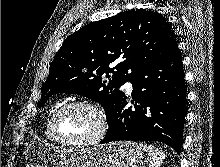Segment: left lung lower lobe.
<instances>
[{"instance_id":"obj_1","label":"left lung lower lobe","mask_w":220,"mask_h":167,"mask_svg":"<svg viewBox=\"0 0 220 167\" xmlns=\"http://www.w3.org/2000/svg\"><path fill=\"white\" fill-rule=\"evenodd\" d=\"M178 47L130 78L132 103L125 94L112 110L101 144L118 140L160 141L180 154L186 115L184 71Z\"/></svg>"}]
</instances>
